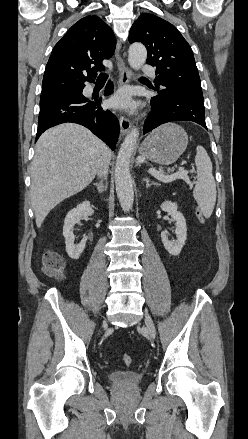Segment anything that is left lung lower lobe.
I'll return each instance as SVG.
<instances>
[{
	"mask_svg": "<svg viewBox=\"0 0 248 439\" xmlns=\"http://www.w3.org/2000/svg\"><path fill=\"white\" fill-rule=\"evenodd\" d=\"M154 90L157 95L151 98L152 111L146 120L144 134L172 121H193L207 129L202 95L173 88Z\"/></svg>",
	"mask_w": 248,
	"mask_h": 439,
	"instance_id": "0a47b994",
	"label": "left lung lower lobe"
}]
</instances>
